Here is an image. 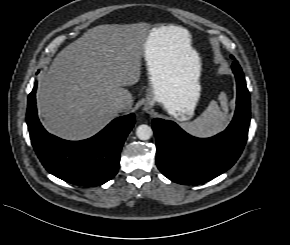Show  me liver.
Returning a JSON list of instances; mask_svg holds the SVG:
<instances>
[{"mask_svg": "<svg viewBox=\"0 0 290 245\" xmlns=\"http://www.w3.org/2000/svg\"><path fill=\"white\" fill-rule=\"evenodd\" d=\"M157 36L174 76L200 74V58L186 29L162 26ZM148 37L138 26L100 25L61 50L38 81L37 108L46 129L61 138L84 139L118 115L117 100L129 111L133 96L125 87L140 79Z\"/></svg>", "mask_w": 290, "mask_h": 245, "instance_id": "1", "label": "liver"}]
</instances>
